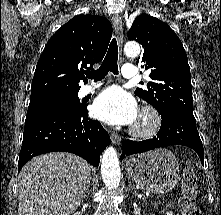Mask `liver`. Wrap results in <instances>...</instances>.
<instances>
[{
	"instance_id": "obj_1",
	"label": "liver",
	"mask_w": 221,
	"mask_h": 215,
	"mask_svg": "<svg viewBox=\"0 0 221 215\" xmlns=\"http://www.w3.org/2000/svg\"><path fill=\"white\" fill-rule=\"evenodd\" d=\"M91 166L74 154L32 158L19 174L18 215H70L77 210Z\"/></svg>"
}]
</instances>
